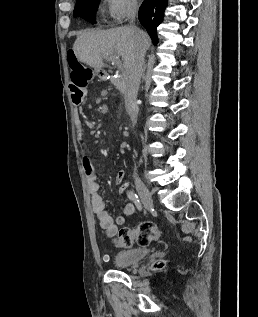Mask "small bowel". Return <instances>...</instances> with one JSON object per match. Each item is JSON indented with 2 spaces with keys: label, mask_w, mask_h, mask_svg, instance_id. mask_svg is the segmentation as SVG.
Listing matches in <instances>:
<instances>
[{
  "label": "small bowel",
  "mask_w": 258,
  "mask_h": 317,
  "mask_svg": "<svg viewBox=\"0 0 258 317\" xmlns=\"http://www.w3.org/2000/svg\"><path fill=\"white\" fill-rule=\"evenodd\" d=\"M75 132L80 143H83L86 117L79 114L75 119ZM82 166L88 181V189L91 196V205L93 212L99 222L100 227L104 230L108 237H113L118 230V226L123 225L125 221L134 215L135 206L132 203H127L123 206L122 214L113 218L107 209L103 191L98 181L97 173L92 163V160L84 155L82 158ZM125 171L120 170L115 177V182L120 184L125 178ZM128 185H123V191L127 192ZM129 192V191H128ZM128 194V193H127Z\"/></svg>",
  "instance_id": "small-bowel-1"
}]
</instances>
